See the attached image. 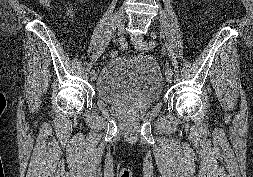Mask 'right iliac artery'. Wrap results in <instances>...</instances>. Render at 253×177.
Returning a JSON list of instances; mask_svg holds the SVG:
<instances>
[{"instance_id": "obj_1", "label": "right iliac artery", "mask_w": 253, "mask_h": 177, "mask_svg": "<svg viewBox=\"0 0 253 177\" xmlns=\"http://www.w3.org/2000/svg\"><path fill=\"white\" fill-rule=\"evenodd\" d=\"M118 43L120 44L121 48H126V43H125V39L122 37V38H118L117 39ZM90 72L91 73H94L95 72V69L94 68H91L90 69Z\"/></svg>"}]
</instances>
